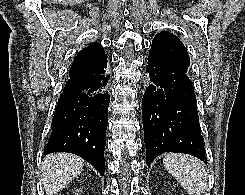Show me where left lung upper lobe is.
Listing matches in <instances>:
<instances>
[{
	"mask_svg": "<svg viewBox=\"0 0 245 195\" xmlns=\"http://www.w3.org/2000/svg\"><path fill=\"white\" fill-rule=\"evenodd\" d=\"M148 57L163 63L174 73H188L190 58L187 50L170 32L162 31L154 37Z\"/></svg>",
	"mask_w": 245,
	"mask_h": 195,
	"instance_id": "5c2ea615",
	"label": "left lung upper lobe"
}]
</instances>
